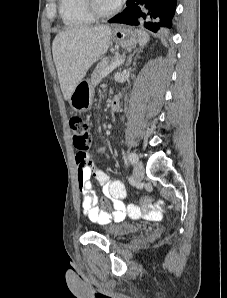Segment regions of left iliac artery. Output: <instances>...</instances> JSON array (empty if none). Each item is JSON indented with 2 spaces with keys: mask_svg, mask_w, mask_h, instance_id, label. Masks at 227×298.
<instances>
[{
  "mask_svg": "<svg viewBox=\"0 0 227 298\" xmlns=\"http://www.w3.org/2000/svg\"><path fill=\"white\" fill-rule=\"evenodd\" d=\"M128 159L132 164H135L138 161V156L136 153L132 152L129 154Z\"/></svg>",
  "mask_w": 227,
  "mask_h": 298,
  "instance_id": "1",
  "label": "left iliac artery"
}]
</instances>
